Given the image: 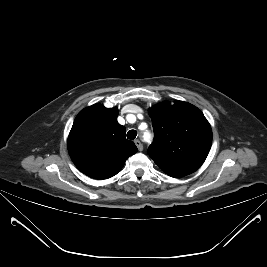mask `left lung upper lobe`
<instances>
[{
  "label": "left lung upper lobe",
  "instance_id": "5c2ea615",
  "mask_svg": "<svg viewBox=\"0 0 267 267\" xmlns=\"http://www.w3.org/2000/svg\"><path fill=\"white\" fill-rule=\"evenodd\" d=\"M154 141L148 154L169 176L195 172L205 161L212 144V130L203 113L192 104L162 102L149 109Z\"/></svg>",
  "mask_w": 267,
  "mask_h": 267
}]
</instances>
